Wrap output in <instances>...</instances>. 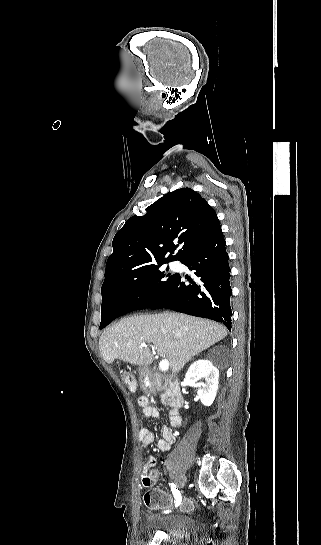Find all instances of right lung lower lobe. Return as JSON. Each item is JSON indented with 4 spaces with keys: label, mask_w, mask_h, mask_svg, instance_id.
Returning <instances> with one entry per match:
<instances>
[{
    "label": "right lung lower lobe",
    "mask_w": 321,
    "mask_h": 545,
    "mask_svg": "<svg viewBox=\"0 0 321 545\" xmlns=\"http://www.w3.org/2000/svg\"><path fill=\"white\" fill-rule=\"evenodd\" d=\"M221 226L198 244L181 262L200 277L192 285H185L184 278L177 274L168 288L152 303L126 295H112L102 306L103 328L128 312L140 309L168 308L193 316L209 318L223 323L231 330L230 267L225 250Z\"/></svg>",
    "instance_id": "obj_1"
}]
</instances>
